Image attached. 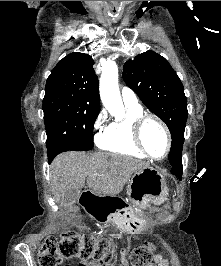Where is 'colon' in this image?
Instances as JSON below:
<instances>
[{
    "mask_svg": "<svg viewBox=\"0 0 221 266\" xmlns=\"http://www.w3.org/2000/svg\"><path fill=\"white\" fill-rule=\"evenodd\" d=\"M152 257L153 244L147 242L131 252V266H151ZM65 258H80L115 266L112 240L97 239L82 231H68L59 239L49 237L43 241L39 250L40 266H60Z\"/></svg>",
    "mask_w": 221,
    "mask_h": 266,
    "instance_id": "5ec220e1",
    "label": "colon"
}]
</instances>
